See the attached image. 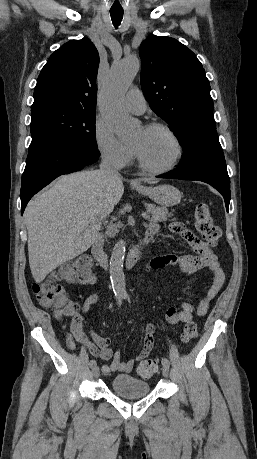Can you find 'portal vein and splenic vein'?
<instances>
[{
	"label": "portal vein and splenic vein",
	"mask_w": 257,
	"mask_h": 459,
	"mask_svg": "<svg viewBox=\"0 0 257 459\" xmlns=\"http://www.w3.org/2000/svg\"><path fill=\"white\" fill-rule=\"evenodd\" d=\"M141 215L145 220H149L150 219V215L148 213H146V212H143Z\"/></svg>",
	"instance_id": "1"
}]
</instances>
